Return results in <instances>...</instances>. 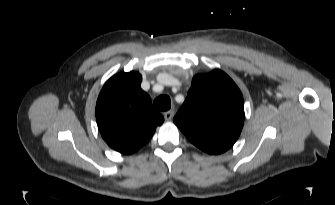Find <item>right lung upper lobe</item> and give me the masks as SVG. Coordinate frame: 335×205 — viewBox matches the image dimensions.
<instances>
[{"instance_id": "right-lung-upper-lobe-1", "label": "right lung upper lobe", "mask_w": 335, "mask_h": 205, "mask_svg": "<svg viewBox=\"0 0 335 205\" xmlns=\"http://www.w3.org/2000/svg\"><path fill=\"white\" fill-rule=\"evenodd\" d=\"M138 72L111 77L102 88L97 104L96 119L106 143L123 154H131L145 145L156 127L164 121L141 89Z\"/></svg>"}]
</instances>
